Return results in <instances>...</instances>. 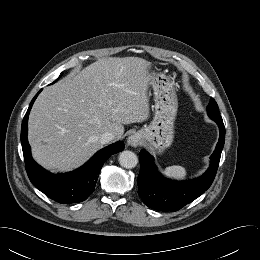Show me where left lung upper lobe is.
Masks as SVG:
<instances>
[{
  "label": "left lung upper lobe",
  "instance_id": "1",
  "mask_svg": "<svg viewBox=\"0 0 260 260\" xmlns=\"http://www.w3.org/2000/svg\"><path fill=\"white\" fill-rule=\"evenodd\" d=\"M207 113L213 120H222V117L219 114L218 105L213 98L210 99L209 105L207 106Z\"/></svg>",
  "mask_w": 260,
  "mask_h": 260
}]
</instances>
